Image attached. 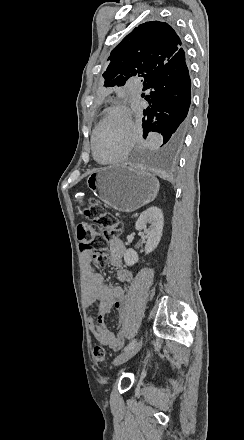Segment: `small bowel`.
Instances as JSON below:
<instances>
[{
	"mask_svg": "<svg viewBox=\"0 0 244 440\" xmlns=\"http://www.w3.org/2000/svg\"><path fill=\"white\" fill-rule=\"evenodd\" d=\"M125 251V245L119 237H112L109 240L107 259L115 270V277L124 284H130L133 279L132 273L123 268ZM82 262L86 281V302L89 306L96 304L99 308L96 319L89 317L90 331L101 344L112 350H119L124 344V336L121 332L116 334L110 331L105 324V318L112 307L117 308L121 315H126L130 311L126 290L121 285L106 283L103 277L93 270L91 253H83Z\"/></svg>",
	"mask_w": 244,
	"mask_h": 440,
	"instance_id": "1",
	"label": "small bowel"
}]
</instances>
